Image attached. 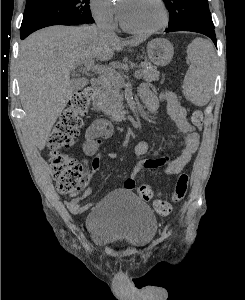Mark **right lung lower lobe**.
I'll use <instances>...</instances> for the list:
<instances>
[{
  "instance_id": "1",
  "label": "right lung lower lobe",
  "mask_w": 245,
  "mask_h": 300,
  "mask_svg": "<svg viewBox=\"0 0 245 300\" xmlns=\"http://www.w3.org/2000/svg\"><path fill=\"white\" fill-rule=\"evenodd\" d=\"M28 35H20V38L21 39H24V38H26Z\"/></svg>"
}]
</instances>
